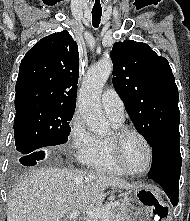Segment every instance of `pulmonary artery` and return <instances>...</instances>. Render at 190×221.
<instances>
[{"instance_id": "obj_1", "label": "pulmonary artery", "mask_w": 190, "mask_h": 221, "mask_svg": "<svg viewBox=\"0 0 190 221\" xmlns=\"http://www.w3.org/2000/svg\"><path fill=\"white\" fill-rule=\"evenodd\" d=\"M101 103L104 112L111 121L123 123L124 103L114 89H107L103 92L101 96Z\"/></svg>"}]
</instances>
